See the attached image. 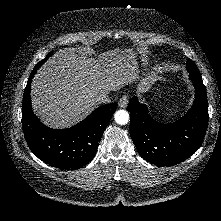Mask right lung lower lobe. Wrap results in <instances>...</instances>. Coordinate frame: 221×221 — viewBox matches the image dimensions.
<instances>
[{
    "instance_id": "98d812e1",
    "label": "right lung lower lobe",
    "mask_w": 221,
    "mask_h": 221,
    "mask_svg": "<svg viewBox=\"0 0 221 221\" xmlns=\"http://www.w3.org/2000/svg\"><path fill=\"white\" fill-rule=\"evenodd\" d=\"M37 70L32 71L23 96L22 126L25 139L41 161L59 169H78L95 156L102 133L112 118L117 103L95 109L71 128L51 129L39 121L31 106L30 87Z\"/></svg>"
}]
</instances>
